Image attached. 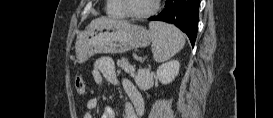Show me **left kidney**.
<instances>
[{
  "label": "left kidney",
  "mask_w": 273,
  "mask_h": 118,
  "mask_svg": "<svg viewBox=\"0 0 273 118\" xmlns=\"http://www.w3.org/2000/svg\"><path fill=\"white\" fill-rule=\"evenodd\" d=\"M179 68L180 63L177 60H171L169 62L163 63L157 69V78L162 84L167 85L178 76Z\"/></svg>",
  "instance_id": "left-kidney-1"
}]
</instances>
